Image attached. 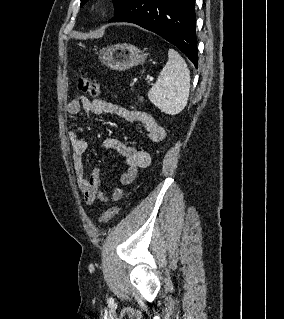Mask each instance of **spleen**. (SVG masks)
<instances>
[{
	"instance_id": "spleen-1",
	"label": "spleen",
	"mask_w": 284,
	"mask_h": 319,
	"mask_svg": "<svg viewBox=\"0 0 284 319\" xmlns=\"http://www.w3.org/2000/svg\"><path fill=\"white\" fill-rule=\"evenodd\" d=\"M190 90V73L184 59L174 49L156 83L148 92L149 100L169 115L180 113L186 106Z\"/></svg>"
}]
</instances>
